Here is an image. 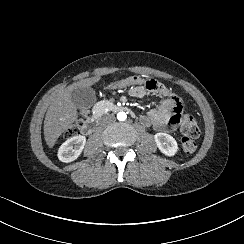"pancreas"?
Wrapping results in <instances>:
<instances>
[{
	"mask_svg": "<svg viewBox=\"0 0 244 244\" xmlns=\"http://www.w3.org/2000/svg\"><path fill=\"white\" fill-rule=\"evenodd\" d=\"M99 103L102 105L103 108H107V109H109L112 105V102L110 100H104Z\"/></svg>",
	"mask_w": 244,
	"mask_h": 244,
	"instance_id": "1",
	"label": "pancreas"
}]
</instances>
